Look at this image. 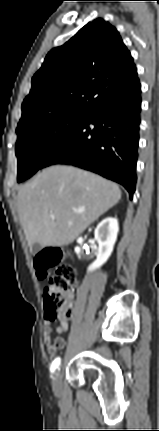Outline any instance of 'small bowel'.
I'll return each mask as SVG.
<instances>
[{
    "label": "small bowel",
    "instance_id": "c3829d8e",
    "mask_svg": "<svg viewBox=\"0 0 159 431\" xmlns=\"http://www.w3.org/2000/svg\"><path fill=\"white\" fill-rule=\"evenodd\" d=\"M66 303L71 305L73 303V295L71 293L67 294ZM56 332L59 336L52 338V327L51 322L46 320L43 327V337L44 344L49 354L55 355L60 350H62L66 345V340L62 336L68 331V322L66 318L62 317L59 321V325L56 327Z\"/></svg>",
    "mask_w": 159,
    "mask_h": 431
}]
</instances>
